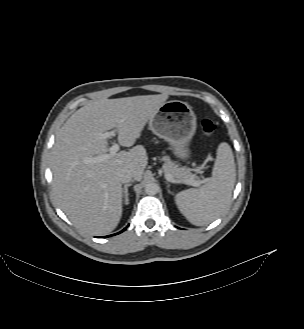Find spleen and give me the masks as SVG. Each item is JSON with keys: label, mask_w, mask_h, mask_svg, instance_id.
<instances>
[{"label": "spleen", "mask_w": 304, "mask_h": 329, "mask_svg": "<svg viewBox=\"0 0 304 329\" xmlns=\"http://www.w3.org/2000/svg\"><path fill=\"white\" fill-rule=\"evenodd\" d=\"M236 180V167L230 145L221 143L210 181L199 189L191 188L176 194L175 202L186 219L196 226L218 218L230 203Z\"/></svg>", "instance_id": "1"}]
</instances>
